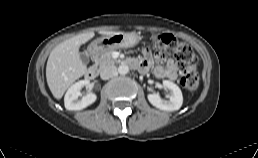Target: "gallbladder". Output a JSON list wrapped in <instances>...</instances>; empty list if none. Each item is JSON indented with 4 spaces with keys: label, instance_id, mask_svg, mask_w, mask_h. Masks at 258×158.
Segmentation results:
<instances>
[{
    "label": "gallbladder",
    "instance_id": "gallbladder-1",
    "mask_svg": "<svg viewBox=\"0 0 258 158\" xmlns=\"http://www.w3.org/2000/svg\"><path fill=\"white\" fill-rule=\"evenodd\" d=\"M80 59L84 64H88L90 61L89 56L85 52H80Z\"/></svg>",
    "mask_w": 258,
    "mask_h": 158
}]
</instances>
